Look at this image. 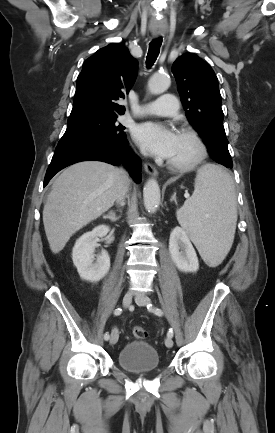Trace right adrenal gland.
I'll return each instance as SVG.
<instances>
[{
	"instance_id": "1",
	"label": "right adrenal gland",
	"mask_w": 275,
	"mask_h": 433,
	"mask_svg": "<svg viewBox=\"0 0 275 433\" xmlns=\"http://www.w3.org/2000/svg\"><path fill=\"white\" fill-rule=\"evenodd\" d=\"M120 216H116L115 212L110 211L107 215L103 216L104 219H109L112 222H116L117 220H119Z\"/></svg>"
}]
</instances>
